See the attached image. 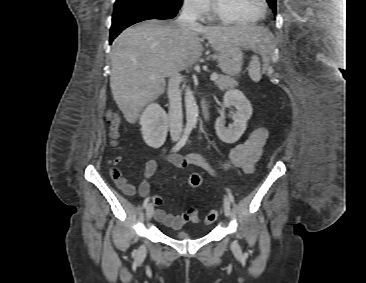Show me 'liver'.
I'll list each match as a JSON object with an SVG mask.
<instances>
[{
	"mask_svg": "<svg viewBox=\"0 0 366 283\" xmlns=\"http://www.w3.org/2000/svg\"><path fill=\"white\" fill-rule=\"evenodd\" d=\"M199 35L214 50L241 47L263 53L268 29L252 25L203 26L181 29L176 20H147L128 27L114 40L110 87L125 119L135 123L140 111L165 91V78L192 67L201 57Z\"/></svg>",
	"mask_w": 366,
	"mask_h": 283,
	"instance_id": "obj_1",
	"label": "liver"
}]
</instances>
